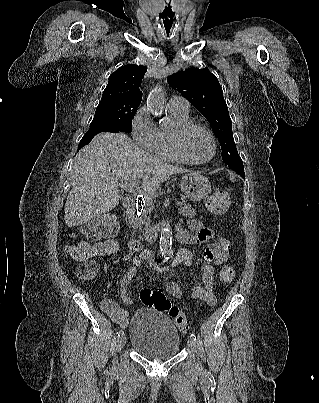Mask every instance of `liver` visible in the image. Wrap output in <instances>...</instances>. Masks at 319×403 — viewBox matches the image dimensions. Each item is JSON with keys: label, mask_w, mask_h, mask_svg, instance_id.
<instances>
[{"label": "liver", "mask_w": 319, "mask_h": 403, "mask_svg": "<svg viewBox=\"0 0 319 403\" xmlns=\"http://www.w3.org/2000/svg\"><path fill=\"white\" fill-rule=\"evenodd\" d=\"M184 172L188 170L142 151L126 134L100 133L74 159L65 223L80 226L115 208L122 199L118 188L123 181L142 179L141 188L154 192L168 177Z\"/></svg>", "instance_id": "1"}]
</instances>
